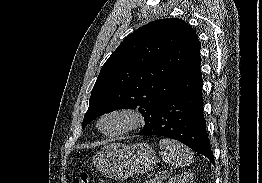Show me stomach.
<instances>
[{"label":"stomach","mask_w":262,"mask_h":183,"mask_svg":"<svg viewBox=\"0 0 262 183\" xmlns=\"http://www.w3.org/2000/svg\"><path fill=\"white\" fill-rule=\"evenodd\" d=\"M93 160L100 173L117 180L146 173L157 164L155 151L144 143L134 145L111 143L97 152Z\"/></svg>","instance_id":"obj_1"}]
</instances>
